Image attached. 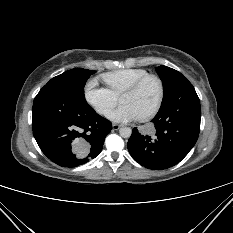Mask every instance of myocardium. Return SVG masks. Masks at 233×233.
Returning <instances> with one entry per match:
<instances>
[{"label": "myocardium", "mask_w": 233, "mask_h": 233, "mask_svg": "<svg viewBox=\"0 0 233 233\" xmlns=\"http://www.w3.org/2000/svg\"><path fill=\"white\" fill-rule=\"evenodd\" d=\"M150 79L156 80L159 84V98L154 108L149 113L139 118L140 121H148L152 119L161 109V106L163 104L164 97H165V86H164V82L161 79V77L155 74H147L139 78L134 83H132L130 86L124 89L123 92L121 93V96H122L123 94L136 92Z\"/></svg>", "instance_id": "f54148a6"}]
</instances>
